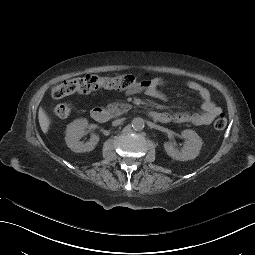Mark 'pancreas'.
<instances>
[{"mask_svg":"<svg viewBox=\"0 0 255 255\" xmlns=\"http://www.w3.org/2000/svg\"><path fill=\"white\" fill-rule=\"evenodd\" d=\"M131 108V105H127L125 103H112L107 106V111L113 117H117L119 115H122L124 112H127Z\"/></svg>","mask_w":255,"mask_h":255,"instance_id":"cf45deb5","label":"pancreas"}]
</instances>
